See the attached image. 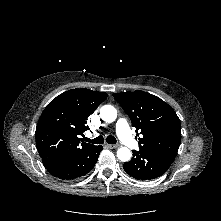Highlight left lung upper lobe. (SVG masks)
I'll return each mask as SVG.
<instances>
[{
  "instance_id": "obj_1",
  "label": "left lung upper lobe",
  "mask_w": 221,
  "mask_h": 221,
  "mask_svg": "<svg viewBox=\"0 0 221 221\" xmlns=\"http://www.w3.org/2000/svg\"><path fill=\"white\" fill-rule=\"evenodd\" d=\"M139 131V149L175 158L181 141V124L166 102L144 91L113 94ZM139 136V134H137Z\"/></svg>"
}]
</instances>
